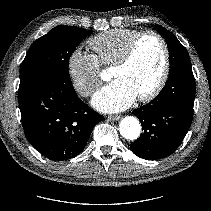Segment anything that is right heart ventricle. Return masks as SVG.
Returning <instances> with one entry per match:
<instances>
[{
  "instance_id": "right-heart-ventricle-1",
  "label": "right heart ventricle",
  "mask_w": 211,
  "mask_h": 211,
  "mask_svg": "<svg viewBox=\"0 0 211 211\" xmlns=\"http://www.w3.org/2000/svg\"><path fill=\"white\" fill-rule=\"evenodd\" d=\"M140 32L129 28L108 30L93 37L89 46L94 51L98 63L112 66Z\"/></svg>"
}]
</instances>
